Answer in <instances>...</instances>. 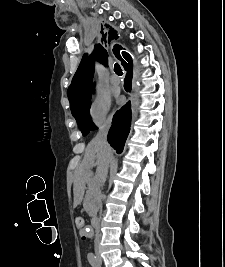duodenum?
I'll return each instance as SVG.
<instances>
[{
	"label": "duodenum",
	"instance_id": "duodenum-1",
	"mask_svg": "<svg viewBox=\"0 0 225 267\" xmlns=\"http://www.w3.org/2000/svg\"><path fill=\"white\" fill-rule=\"evenodd\" d=\"M91 224L94 229L99 227V218L96 214H92Z\"/></svg>",
	"mask_w": 225,
	"mask_h": 267
}]
</instances>
